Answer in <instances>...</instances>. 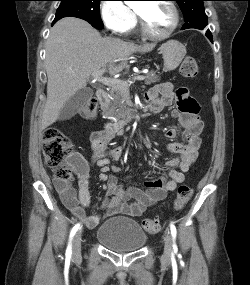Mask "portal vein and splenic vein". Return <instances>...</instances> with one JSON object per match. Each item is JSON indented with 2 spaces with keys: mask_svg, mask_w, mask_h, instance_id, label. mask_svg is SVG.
<instances>
[{
  "mask_svg": "<svg viewBox=\"0 0 250 285\" xmlns=\"http://www.w3.org/2000/svg\"><path fill=\"white\" fill-rule=\"evenodd\" d=\"M105 72V69H101L97 72H94L92 74L93 78L96 81H99L100 83L107 85V86H111V87H122L124 89H128V82L131 81H123V80H119V79H115V78H108V77H103V73ZM133 81H142L144 80V76L143 75H138L135 76L133 79Z\"/></svg>",
  "mask_w": 250,
  "mask_h": 285,
  "instance_id": "portal-vein-and-splenic-vein-1",
  "label": "portal vein and splenic vein"
}]
</instances>
